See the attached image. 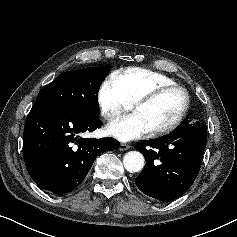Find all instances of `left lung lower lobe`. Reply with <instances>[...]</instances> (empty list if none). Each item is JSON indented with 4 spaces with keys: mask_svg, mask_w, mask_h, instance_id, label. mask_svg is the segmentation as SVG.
<instances>
[{
    "mask_svg": "<svg viewBox=\"0 0 237 237\" xmlns=\"http://www.w3.org/2000/svg\"><path fill=\"white\" fill-rule=\"evenodd\" d=\"M207 127L189 117L170 134L136 143L146 159L136 177V186L147 196L162 202L182 196L197 177L206 148Z\"/></svg>",
    "mask_w": 237,
    "mask_h": 237,
    "instance_id": "left-lung-lower-lobe-1",
    "label": "left lung lower lobe"
}]
</instances>
